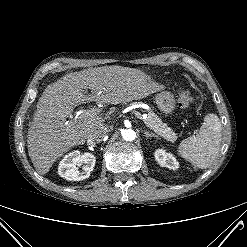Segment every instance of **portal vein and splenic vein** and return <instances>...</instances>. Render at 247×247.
Returning <instances> with one entry per match:
<instances>
[{"label": "portal vein and splenic vein", "mask_w": 247, "mask_h": 247, "mask_svg": "<svg viewBox=\"0 0 247 247\" xmlns=\"http://www.w3.org/2000/svg\"><path fill=\"white\" fill-rule=\"evenodd\" d=\"M97 114H99V109L97 108H91V109H87V110H84L82 111V114L79 116V119H86V118H89V117H94L96 116ZM134 114L135 116L138 118V119H145L146 116L145 115H142L140 112L138 111H134Z\"/></svg>", "instance_id": "portal-vein-and-splenic-vein-1"}]
</instances>
